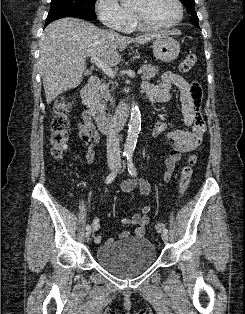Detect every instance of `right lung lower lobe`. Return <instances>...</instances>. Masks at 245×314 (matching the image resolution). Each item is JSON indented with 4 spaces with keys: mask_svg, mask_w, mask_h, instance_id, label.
I'll use <instances>...</instances> for the list:
<instances>
[{
    "mask_svg": "<svg viewBox=\"0 0 245 314\" xmlns=\"http://www.w3.org/2000/svg\"><path fill=\"white\" fill-rule=\"evenodd\" d=\"M64 17H75L80 19H86V20H95L96 16L79 13V12H62V13H55V14H48L45 22V26H47L50 22L64 18Z\"/></svg>",
    "mask_w": 245,
    "mask_h": 314,
    "instance_id": "98d812e1",
    "label": "right lung lower lobe"
}]
</instances>
